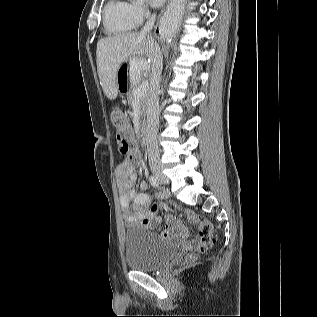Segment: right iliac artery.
<instances>
[{"instance_id": "obj_1", "label": "right iliac artery", "mask_w": 317, "mask_h": 317, "mask_svg": "<svg viewBox=\"0 0 317 317\" xmlns=\"http://www.w3.org/2000/svg\"><path fill=\"white\" fill-rule=\"evenodd\" d=\"M149 181L152 186L157 187L159 186V180L156 176H150Z\"/></svg>"}]
</instances>
